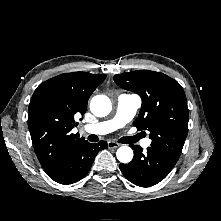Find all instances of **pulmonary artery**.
Returning a JSON list of instances; mask_svg holds the SVG:
<instances>
[{
    "instance_id": "1",
    "label": "pulmonary artery",
    "mask_w": 221,
    "mask_h": 221,
    "mask_svg": "<svg viewBox=\"0 0 221 221\" xmlns=\"http://www.w3.org/2000/svg\"><path fill=\"white\" fill-rule=\"evenodd\" d=\"M141 106V99L135 94H121L117 100L115 116L106 121L99 122L94 125L84 127L88 133L96 135H105L125 126L135 116L137 110ZM151 141L144 140L143 147H149Z\"/></svg>"
}]
</instances>
